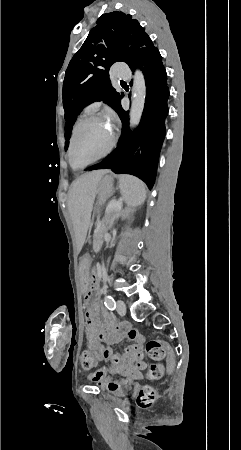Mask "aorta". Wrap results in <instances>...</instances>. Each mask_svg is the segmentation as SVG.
Listing matches in <instances>:
<instances>
[{
    "instance_id": "obj_1",
    "label": "aorta",
    "mask_w": 241,
    "mask_h": 450,
    "mask_svg": "<svg viewBox=\"0 0 241 450\" xmlns=\"http://www.w3.org/2000/svg\"><path fill=\"white\" fill-rule=\"evenodd\" d=\"M146 97V83L141 71L134 74L132 86V103L130 109V128L135 129L141 120Z\"/></svg>"
}]
</instances>
